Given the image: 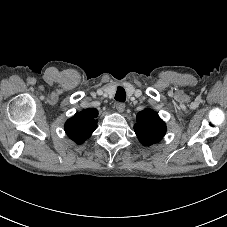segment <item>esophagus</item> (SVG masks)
Returning <instances> with one entry per match:
<instances>
[{"label": "esophagus", "instance_id": "esophagus-1", "mask_svg": "<svg viewBox=\"0 0 227 227\" xmlns=\"http://www.w3.org/2000/svg\"><path fill=\"white\" fill-rule=\"evenodd\" d=\"M115 106L118 112H123L125 110V104L123 102H117Z\"/></svg>", "mask_w": 227, "mask_h": 227}]
</instances>
